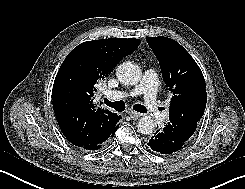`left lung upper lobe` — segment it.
Instances as JSON below:
<instances>
[{"label":"left lung upper lobe","instance_id":"1","mask_svg":"<svg viewBox=\"0 0 245 189\" xmlns=\"http://www.w3.org/2000/svg\"><path fill=\"white\" fill-rule=\"evenodd\" d=\"M157 57L165 84L173 96L169 108L170 122L165 125L174 141L187 142L194 134L206 107L203 74L191 55L175 40L147 37Z\"/></svg>","mask_w":245,"mask_h":189}]
</instances>
